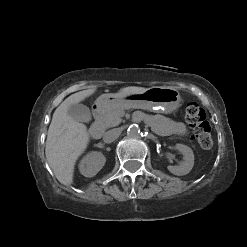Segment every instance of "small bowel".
Segmentation results:
<instances>
[{
	"label": "small bowel",
	"instance_id": "obj_1",
	"mask_svg": "<svg viewBox=\"0 0 247 247\" xmlns=\"http://www.w3.org/2000/svg\"><path fill=\"white\" fill-rule=\"evenodd\" d=\"M148 120L159 135H169L174 133L183 135L187 132L184 124L172 121L164 116L158 115L149 117Z\"/></svg>",
	"mask_w": 247,
	"mask_h": 247
}]
</instances>
